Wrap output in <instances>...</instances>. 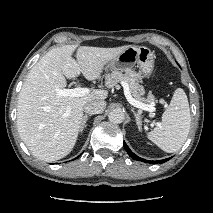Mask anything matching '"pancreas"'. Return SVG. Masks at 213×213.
Returning a JSON list of instances; mask_svg holds the SVG:
<instances>
[{"label": "pancreas", "instance_id": "obj_1", "mask_svg": "<svg viewBox=\"0 0 213 213\" xmlns=\"http://www.w3.org/2000/svg\"><path fill=\"white\" fill-rule=\"evenodd\" d=\"M124 72V73H123ZM120 81H125L128 83L129 90L132 93L133 97L137 101L153 103L155 98L154 95L149 93L148 97L145 99L142 97L144 95V87L139 84L141 81V75L134 70H124V71H113L110 74L105 76V85L108 88H113Z\"/></svg>", "mask_w": 213, "mask_h": 213}]
</instances>
